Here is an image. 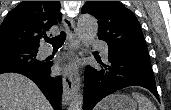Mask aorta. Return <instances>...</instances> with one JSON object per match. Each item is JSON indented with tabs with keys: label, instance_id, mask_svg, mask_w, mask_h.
Masks as SVG:
<instances>
[{
	"label": "aorta",
	"instance_id": "obj_1",
	"mask_svg": "<svg viewBox=\"0 0 171 110\" xmlns=\"http://www.w3.org/2000/svg\"><path fill=\"white\" fill-rule=\"evenodd\" d=\"M77 29L79 38L85 49L88 51L91 42L95 39L98 32L97 19L91 15L84 14L78 18ZM83 88L80 83L77 84L73 99L68 110H82Z\"/></svg>",
	"mask_w": 171,
	"mask_h": 110
}]
</instances>
